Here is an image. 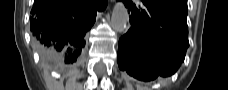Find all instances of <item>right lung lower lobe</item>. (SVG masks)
Instances as JSON below:
<instances>
[{
	"label": "right lung lower lobe",
	"mask_w": 228,
	"mask_h": 90,
	"mask_svg": "<svg viewBox=\"0 0 228 90\" xmlns=\"http://www.w3.org/2000/svg\"><path fill=\"white\" fill-rule=\"evenodd\" d=\"M106 6L107 0H35L30 17L33 39L73 63L97 13Z\"/></svg>",
	"instance_id": "1"
}]
</instances>
